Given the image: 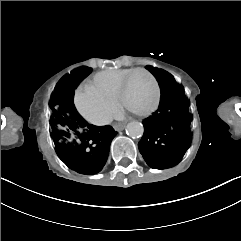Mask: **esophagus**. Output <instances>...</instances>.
Returning <instances> with one entry per match:
<instances>
[{
	"label": "esophagus",
	"instance_id": "1",
	"mask_svg": "<svg viewBox=\"0 0 241 241\" xmlns=\"http://www.w3.org/2000/svg\"><path fill=\"white\" fill-rule=\"evenodd\" d=\"M124 128H125V125H124V124H115V125H114V129H115L116 131H122V130H124Z\"/></svg>",
	"mask_w": 241,
	"mask_h": 241
}]
</instances>
